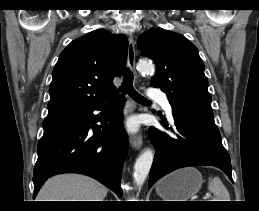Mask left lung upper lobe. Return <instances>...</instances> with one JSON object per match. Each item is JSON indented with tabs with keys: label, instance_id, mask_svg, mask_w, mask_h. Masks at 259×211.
Listing matches in <instances>:
<instances>
[{
	"label": "left lung upper lobe",
	"instance_id": "5c2ea615",
	"mask_svg": "<svg viewBox=\"0 0 259 211\" xmlns=\"http://www.w3.org/2000/svg\"><path fill=\"white\" fill-rule=\"evenodd\" d=\"M138 45L157 67L151 86L167 94L172 108L213 117L204 64L188 39L158 28L142 33Z\"/></svg>",
	"mask_w": 259,
	"mask_h": 211
}]
</instances>
